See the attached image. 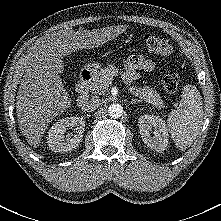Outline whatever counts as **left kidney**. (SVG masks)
<instances>
[{"label": "left kidney", "mask_w": 221, "mask_h": 221, "mask_svg": "<svg viewBox=\"0 0 221 221\" xmlns=\"http://www.w3.org/2000/svg\"><path fill=\"white\" fill-rule=\"evenodd\" d=\"M138 126L141 137L148 147L158 152L167 148L168 133L162 118L154 115H143L138 119Z\"/></svg>", "instance_id": "obj_1"}]
</instances>
